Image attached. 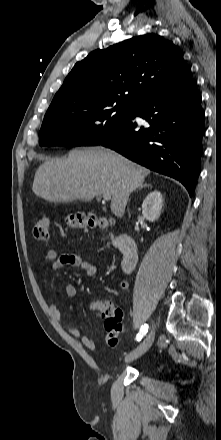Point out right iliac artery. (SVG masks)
Masks as SVG:
<instances>
[{
	"instance_id": "right-iliac-artery-1",
	"label": "right iliac artery",
	"mask_w": 221,
	"mask_h": 440,
	"mask_svg": "<svg viewBox=\"0 0 221 440\" xmlns=\"http://www.w3.org/2000/svg\"><path fill=\"white\" fill-rule=\"evenodd\" d=\"M147 332H148V325L145 324L144 326L141 327L140 332L137 335V340L140 341L142 337L146 335Z\"/></svg>"
}]
</instances>
